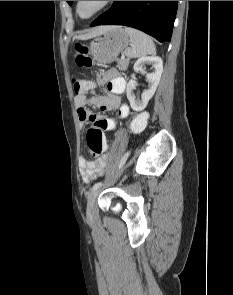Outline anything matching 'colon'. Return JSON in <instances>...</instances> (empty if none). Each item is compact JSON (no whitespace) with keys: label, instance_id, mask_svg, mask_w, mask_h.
<instances>
[{"label":"colon","instance_id":"obj_1","mask_svg":"<svg viewBox=\"0 0 233 295\" xmlns=\"http://www.w3.org/2000/svg\"><path fill=\"white\" fill-rule=\"evenodd\" d=\"M77 55L76 63L81 68H87L92 65L91 59L88 57V49L84 44L78 43L75 46ZM74 91L76 94H85L92 91L95 88V84L87 80H74ZM146 114H139L132 122V130L134 132L141 131L145 126ZM87 144L90 153L93 156L100 155L106 148L103 131L100 128L92 127L87 132Z\"/></svg>","mask_w":233,"mask_h":295}]
</instances>
